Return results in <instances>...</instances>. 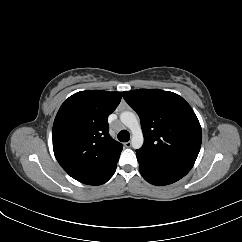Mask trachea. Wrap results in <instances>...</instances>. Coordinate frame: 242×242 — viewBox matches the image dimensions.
<instances>
[{
    "mask_svg": "<svg viewBox=\"0 0 242 242\" xmlns=\"http://www.w3.org/2000/svg\"><path fill=\"white\" fill-rule=\"evenodd\" d=\"M118 140L121 142H127L130 139V134L127 130H122L118 133Z\"/></svg>",
    "mask_w": 242,
    "mask_h": 242,
    "instance_id": "obj_1",
    "label": "trachea"
}]
</instances>
